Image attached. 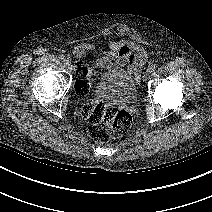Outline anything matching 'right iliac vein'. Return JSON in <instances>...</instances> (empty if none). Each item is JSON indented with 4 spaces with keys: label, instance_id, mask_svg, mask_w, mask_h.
Wrapping results in <instances>:
<instances>
[{
    "label": "right iliac vein",
    "instance_id": "right-iliac-vein-1",
    "mask_svg": "<svg viewBox=\"0 0 212 212\" xmlns=\"http://www.w3.org/2000/svg\"><path fill=\"white\" fill-rule=\"evenodd\" d=\"M70 65H71V64H70V62H69L68 60H65V61H64V66H65L66 68L69 69V68H70Z\"/></svg>",
    "mask_w": 212,
    "mask_h": 212
}]
</instances>
